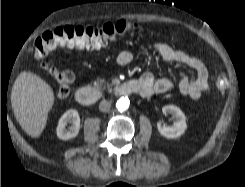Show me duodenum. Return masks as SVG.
<instances>
[{
  "instance_id": "duodenum-1",
  "label": "duodenum",
  "mask_w": 245,
  "mask_h": 187,
  "mask_svg": "<svg viewBox=\"0 0 245 187\" xmlns=\"http://www.w3.org/2000/svg\"><path fill=\"white\" fill-rule=\"evenodd\" d=\"M117 96L122 95H142L143 86L136 80L131 79L116 85L113 89ZM101 98V92L98 88L91 86H84L77 89L75 99L78 103L83 105H90L97 102Z\"/></svg>"
}]
</instances>
